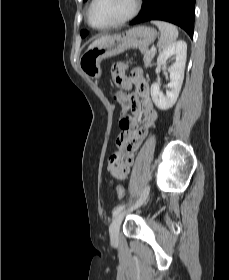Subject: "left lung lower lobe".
<instances>
[{"mask_svg": "<svg viewBox=\"0 0 229 280\" xmlns=\"http://www.w3.org/2000/svg\"><path fill=\"white\" fill-rule=\"evenodd\" d=\"M195 2L196 0H144L140 14L131 21V24L163 20L181 27L192 38Z\"/></svg>", "mask_w": 229, "mask_h": 280, "instance_id": "0a47b994", "label": "left lung lower lobe"}]
</instances>
